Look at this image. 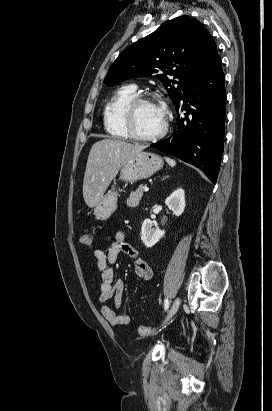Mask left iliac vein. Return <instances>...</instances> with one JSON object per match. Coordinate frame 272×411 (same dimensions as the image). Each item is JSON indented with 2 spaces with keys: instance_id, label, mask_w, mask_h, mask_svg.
Wrapping results in <instances>:
<instances>
[{
  "instance_id": "left-iliac-vein-1",
  "label": "left iliac vein",
  "mask_w": 272,
  "mask_h": 411,
  "mask_svg": "<svg viewBox=\"0 0 272 411\" xmlns=\"http://www.w3.org/2000/svg\"><path fill=\"white\" fill-rule=\"evenodd\" d=\"M180 303H181V299H180V297H177L174 300V302H173V304H172V306H171V308H170V310L167 314V317L165 318L164 322L162 323V326L166 325L168 323V321L175 315V313L177 312V310L180 306Z\"/></svg>"
}]
</instances>
